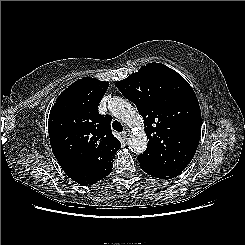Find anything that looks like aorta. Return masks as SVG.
<instances>
[{
	"instance_id": "762f6f07",
	"label": "aorta",
	"mask_w": 245,
	"mask_h": 245,
	"mask_svg": "<svg viewBox=\"0 0 245 245\" xmlns=\"http://www.w3.org/2000/svg\"><path fill=\"white\" fill-rule=\"evenodd\" d=\"M110 112L127 124L131 128H136L137 131L131 135L128 140L129 149L135 154H141L147 147V136L143 130V119L133 109L132 105L125 99L113 97L109 102Z\"/></svg>"
}]
</instances>
